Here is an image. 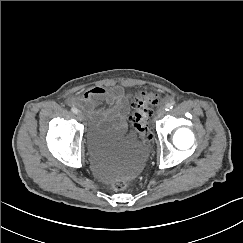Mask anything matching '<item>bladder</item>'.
Here are the masks:
<instances>
[{
    "mask_svg": "<svg viewBox=\"0 0 243 243\" xmlns=\"http://www.w3.org/2000/svg\"><path fill=\"white\" fill-rule=\"evenodd\" d=\"M114 117H101L91 121L86 142L91 152L98 155L113 153L117 156L116 175L132 176L139 172L144 160L141 141L130 136Z\"/></svg>",
    "mask_w": 243,
    "mask_h": 243,
    "instance_id": "31cf9c89",
    "label": "bladder"
}]
</instances>
